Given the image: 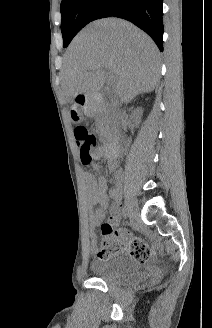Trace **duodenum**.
I'll return each mask as SVG.
<instances>
[{
	"label": "duodenum",
	"instance_id": "obj_1",
	"mask_svg": "<svg viewBox=\"0 0 212 328\" xmlns=\"http://www.w3.org/2000/svg\"><path fill=\"white\" fill-rule=\"evenodd\" d=\"M104 92H106V88ZM78 105L86 112H94L99 106V101L98 98L94 96H82L78 100ZM118 149L119 140L117 137L109 138L104 145L103 153L110 162V168H114L116 165Z\"/></svg>",
	"mask_w": 212,
	"mask_h": 328
}]
</instances>
